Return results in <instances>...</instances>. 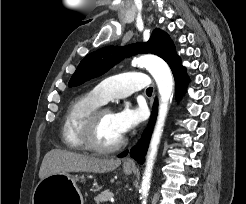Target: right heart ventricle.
<instances>
[{
  "label": "right heart ventricle",
  "instance_id": "1",
  "mask_svg": "<svg viewBox=\"0 0 246 204\" xmlns=\"http://www.w3.org/2000/svg\"><path fill=\"white\" fill-rule=\"evenodd\" d=\"M100 106V101L91 92L71 102L62 124V140L67 148L76 151L86 149L81 132L88 116Z\"/></svg>",
  "mask_w": 246,
  "mask_h": 204
}]
</instances>
